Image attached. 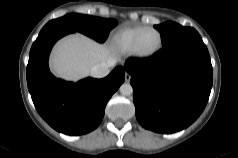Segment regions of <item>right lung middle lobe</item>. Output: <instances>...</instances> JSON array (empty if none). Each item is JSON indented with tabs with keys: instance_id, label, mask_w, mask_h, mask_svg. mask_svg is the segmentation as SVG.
I'll list each match as a JSON object with an SVG mask.
<instances>
[{
	"instance_id": "1",
	"label": "right lung middle lobe",
	"mask_w": 238,
	"mask_h": 158,
	"mask_svg": "<svg viewBox=\"0 0 238 158\" xmlns=\"http://www.w3.org/2000/svg\"><path fill=\"white\" fill-rule=\"evenodd\" d=\"M116 25L117 21L114 19H103L89 15L71 13L59 19L49 21L41 32L53 28L69 29L74 32H81L99 42H104L108 37L110 30Z\"/></svg>"
}]
</instances>
